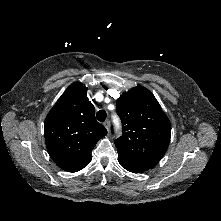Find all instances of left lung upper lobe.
<instances>
[{
  "mask_svg": "<svg viewBox=\"0 0 221 221\" xmlns=\"http://www.w3.org/2000/svg\"><path fill=\"white\" fill-rule=\"evenodd\" d=\"M117 114L123 134L115 140L118 158L148 170L165 154L171 125L154 95L142 86L124 92L117 99Z\"/></svg>",
  "mask_w": 221,
  "mask_h": 221,
  "instance_id": "1",
  "label": "left lung upper lobe"
}]
</instances>
